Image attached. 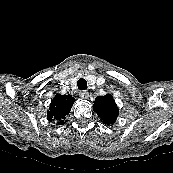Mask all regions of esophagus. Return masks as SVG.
I'll return each instance as SVG.
<instances>
[{"label":"esophagus","instance_id":"obj_1","mask_svg":"<svg viewBox=\"0 0 173 173\" xmlns=\"http://www.w3.org/2000/svg\"><path fill=\"white\" fill-rule=\"evenodd\" d=\"M79 96L82 98V99H87L89 97V93L87 91H81L79 93Z\"/></svg>","mask_w":173,"mask_h":173}]
</instances>
